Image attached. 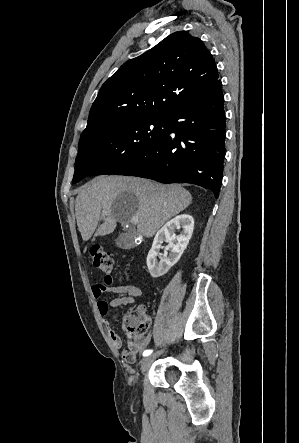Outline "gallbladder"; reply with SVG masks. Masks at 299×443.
Returning <instances> with one entry per match:
<instances>
[{"instance_id":"bac80fb5","label":"gallbladder","mask_w":299,"mask_h":443,"mask_svg":"<svg viewBox=\"0 0 299 443\" xmlns=\"http://www.w3.org/2000/svg\"><path fill=\"white\" fill-rule=\"evenodd\" d=\"M116 245L122 249H128L132 245V234L121 233L116 238Z\"/></svg>"}]
</instances>
